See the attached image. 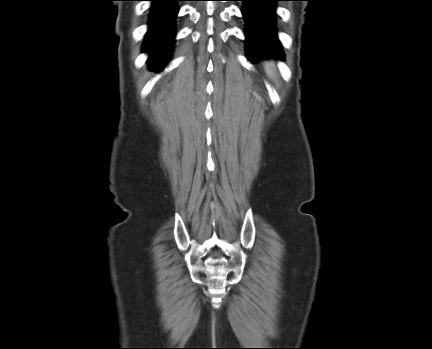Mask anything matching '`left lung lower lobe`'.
<instances>
[{"instance_id": "obj_1", "label": "left lung lower lobe", "mask_w": 432, "mask_h": 349, "mask_svg": "<svg viewBox=\"0 0 432 349\" xmlns=\"http://www.w3.org/2000/svg\"><path fill=\"white\" fill-rule=\"evenodd\" d=\"M244 6L247 27V56L251 61L262 58H283V51L274 28L275 2L280 0H240Z\"/></svg>"}]
</instances>
